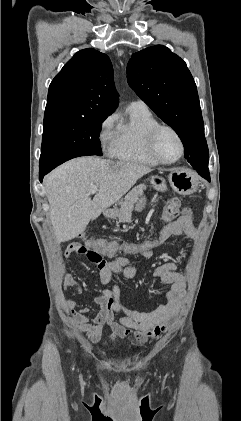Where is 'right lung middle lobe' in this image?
Masks as SVG:
<instances>
[{
    "label": "right lung middle lobe",
    "instance_id": "right-lung-middle-lobe-1",
    "mask_svg": "<svg viewBox=\"0 0 241 421\" xmlns=\"http://www.w3.org/2000/svg\"><path fill=\"white\" fill-rule=\"evenodd\" d=\"M108 115L45 113L40 168H55L79 156L102 155L99 133Z\"/></svg>",
    "mask_w": 241,
    "mask_h": 421
}]
</instances>
